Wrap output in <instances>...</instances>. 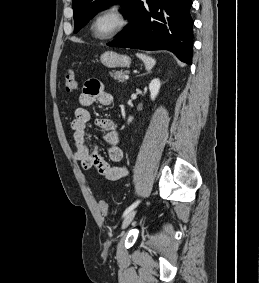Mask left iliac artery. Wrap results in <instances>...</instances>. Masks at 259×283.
<instances>
[{
	"mask_svg": "<svg viewBox=\"0 0 259 283\" xmlns=\"http://www.w3.org/2000/svg\"><path fill=\"white\" fill-rule=\"evenodd\" d=\"M140 203V200L135 201L133 204H131L123 213V217H125L130 211H132L137 205Z\"/></svg>",
	"mask_w": 259,
	"mask_h": 283,
	"instance_id": "obj_1",
	"label": "left iliac artery"
}]
</instances>
